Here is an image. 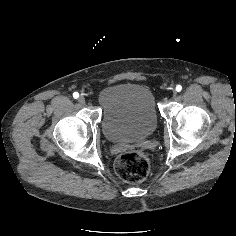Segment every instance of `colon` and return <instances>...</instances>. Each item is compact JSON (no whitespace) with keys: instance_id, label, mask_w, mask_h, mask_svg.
<instances>
[{"instance_id":"1","label":"colon","mask_w":236,"mask_h":236,"mask_svg":"<svg viewBox=\"0 0 236 236\" xmlns=\"http://www.w3.org/2000/svg\"><path fill=\"white\" fill-rule=\"evenodd\" d=\"M116 173L129 183L143 181L150 170L149 158L141 151H132L122 154L115 163Z\"/></svg>"}]
</instances>
